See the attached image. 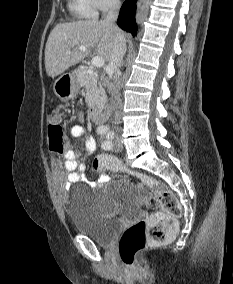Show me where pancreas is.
Instances as JSON below:
<instances>
[{
    "label": "pancreas",
    "mask_w": 233,
    "mask_h": 284,
    "mask_svg": "<svg viewBox=\"0 0 233 284\" xmlns=\"http://www.w3.org/2000/svg\"><path fill=\"white\" fill-rule=\"evenodd\" d=\"M98 81L96 72L89 68L85 71L82 83L86 89L85 100L89 107H101L106 101V93L102 85Z\"/></svg>",
    "instance_id": "obj_1"
}]
</instances>
